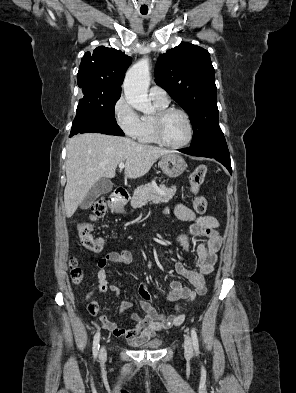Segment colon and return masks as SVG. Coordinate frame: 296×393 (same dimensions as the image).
Wrapping results in <instances>:
<instances>
[{
	"mask_svg": "<svg viewBox=\"0 0 296 393\" xmlns=\"http://www.w3.org/2000/svg\"><path fill=\"white\" fill-rule=\"evenodd\" d=\"M206 175V167L204 165L198 166L190 175V190L194 195L192 200L193 210L197 214H203L207 210V200L204 196L198 195V191L204 182ZM107 209V201L105 198H99L92 206L91 213L89 216L90 221H94L98 218L104 216ZM79 235L81 242L84 247L93 251L99 252L105 246V241L101 237H96L93 235V228L90 222H84L81 224L79 229ZM72 268V277L75 282H79L82 278V271L77 266V262L74 259L70 261Z\"/></svg>",
	"mask_w": 296,
	"mask_h": 393,
	"instance_id": "1",
	"label": "colon"
}]
</instances>
